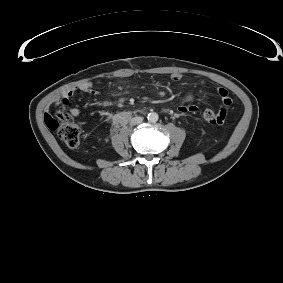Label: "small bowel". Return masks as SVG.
Wrapping results in <instances>:
<instances>
[{
  "label": "small bowel",
  "instance_id": "small-bowel-1",
  "mask_svg": "<svg viewBox=\"0 0 283 283\" xmlns=\"http://www.w3.org/2000/svg\"><path fill=\"white\" fill-rule=\"evenodd\" d=\"M182 79V75L180 74H172L171 75V80L173 82H179ZM80 92H84V93H89V94H93L94 93V84L92 82H84L81 83L77 89ZM75 93V90L69 91L67 92V94L65 95V99H69L71 97H73ZM217 95L220 97L221 99V106H220V110L221 109H229L231 106V99L228 95V91L224 88H218L217 89ZM193 95L189 94L185 97V101L183 103H181L177 110L180 114H195L198 112V107L194 104H192L191 102L193 101ZM227 101H229V104H227ZM71 117L76 118L80 115V110L76 107H73L70 109L69 111Z\"/></svg>",
  "mask_w": 283,
  "mask_h": 283
}]
</instances>
